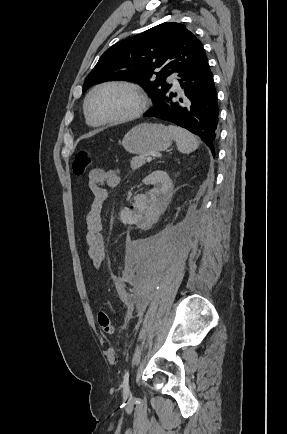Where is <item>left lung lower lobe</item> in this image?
<instances>
[{
    "label": "left lung lower lobe",
    "mask_w": 287,
    "mask_h": 434,
    "mask_svg": "<svg viewBox=\"0 0 287 434\" xmlns=\"http://www.w3.org/2000/svg\"><path fill=\"white\" fill-rule=\"evenodd\" d=\"M178 76L184 94L178 97V101H173L177 93H169L168 90L145 116L164 119L189 130L199 136L214 155L219 109L205 53L188 63Z\"/></svg>",
    "instance_id": "left-lung-lower-lobe-1"
}]
</instances>
